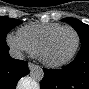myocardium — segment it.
Listing matches in <instances>:
<instances>
[{
    "label": "myocardium",
    "instance_id": "1",
    "mask_svg": "<svg viewBox=\"0 0 89 89\" xmlns=\"http://www.w3.org/2000/svg\"><path fill=\"white\" fill-rule=\"evenodd\" d=\"M65 29H69V30H72L75 35H76V44H75V47L73 49V51L70 53V55L62 60H59V61H51V60H48L45 55H44V52L47 48V46L49 45V43L51 42V40L61 31L65 30ZM80 35H79V32L72 26L70 25H65V26H61L60 28H58L57 30L53 31L52 33H50L46 38L45 40L42 42V44L40 45L39 47V50H38V54H37V57L39 58V60L45 64L46 66H49V67H60V66H63L67 63H69L74 57L75 55L77 54L78 52V49L80 47Z\"/></svg>",
    "mask_w": 89,
    "mask_h": 89
}]
</instances>
